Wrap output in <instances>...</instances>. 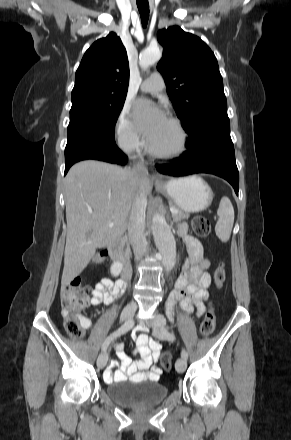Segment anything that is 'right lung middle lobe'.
<instances>
[{
  "label": "right lung middle lobe",
  "instance_id": "dd1d6c3e",
  "mask_svg": "<svg viewBox=\"0 0 291 440\" xmlns=\"http://www.w3.org/2000/svg\"><path fill=\"white\" fill-rule=\"evenodd\" d=\"M125 98L84 99L72 102L67 135L114 139V128Z\"/></svg>",
  "mask_w": 291,
  "mask_h": 440
}]
</instances>
